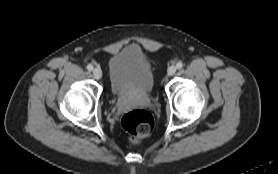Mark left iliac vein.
<instances>
[{
  "instance_id": "left-iliac-vein-1",
  "label": "left iliac vein",
  "mask_w": 278,
  "mask_h": 174,
  "mask_svg": "<svg viewBox=\"0 0 278 174\" xmlns=\"http://www.w3.org/2000/svg\"><path fill=\"white\" fill-rule=\"evenodd\" d=\"M176 70H177V68L175 66H170L168 68V74L172 76L176 73Z\"/></svg>"
}]
</instances>
